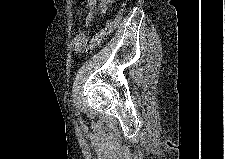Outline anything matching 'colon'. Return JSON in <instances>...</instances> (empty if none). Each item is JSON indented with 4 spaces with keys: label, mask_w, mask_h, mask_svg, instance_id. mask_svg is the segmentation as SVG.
Returning <instances> with one entry per match:
<instances>
[{
    "label": "colon",
    "mask_w": 225,
    "mask_h": 159,
    "mask_svg": "<svg viewBox=\"0 0 225 159\" xmlns=\"http://www.w3.org/2000/svg\"><path fill=\"white\" fill-rule=\"evenodd\" d=\"M126 9V3H123L116 16L110 20L99 32L95 34L85 51L90 54L108 35L117 27Z\"/></svg>",
    "instance_id": "1"
}]
</instances>
